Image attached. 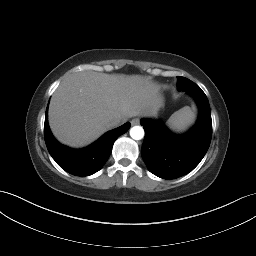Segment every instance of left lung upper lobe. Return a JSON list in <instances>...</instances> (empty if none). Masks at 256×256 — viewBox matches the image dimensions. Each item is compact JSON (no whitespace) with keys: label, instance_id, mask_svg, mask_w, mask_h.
<instances>
[{"label":"left lung upper lobe","instance_id":"5c2ea615","mask_svg":"<svg viewBox=\"0 0 256 256\" xmlns=\"http://www.w3.org/2000/svg\"><path fill=\"white\" fill-rule=\"evenodd\" d=\"M178 78V90H186L187 85L192 82L185 77H177Z\"/></svg>","mask_w":256,"mask_h":256}]
</instances>
